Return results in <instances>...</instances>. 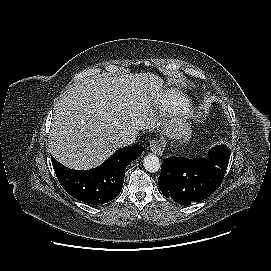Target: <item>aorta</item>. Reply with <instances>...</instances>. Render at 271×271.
<instances>
[{
  "label": "aorta",
  "mask_w": 271,
  "mask_h": 271,
  "mask_svg": "<svg viewBox=\"0 0 271 271\" xmlns=\"http://www.w3.org/2000/svg\"><path fill=\"white\" fill-rule=\"evenodd\" d=\"M144 168L151 173H155L160 169V160L154 154H148L144 157L143 161Z\"/></svg>",
  "instance_id": "762f6f07"
}]
</instances>
